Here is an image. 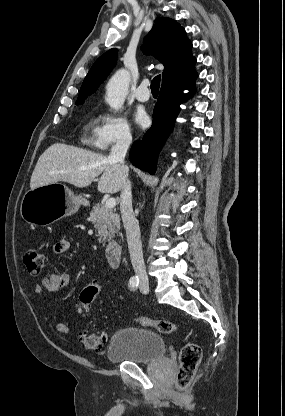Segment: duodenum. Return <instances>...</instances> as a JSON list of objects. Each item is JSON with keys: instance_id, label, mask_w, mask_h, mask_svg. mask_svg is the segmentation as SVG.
<instances>
[{"instance_id": "obj_1", "label": "duodenum", "mask_w": 285, "mask_h": 416, "mask_svg": "<svg viewBox=\"0 0 285 416\" xmlns=\"http://www.w3.org/2000/svg\"><path fill=\"white\" fill-rule=\"evenodd\" d=\"M84 203L86 205H89L91 203V200L89 198H86L84 200ZM104 253L109 266L112 269L119 268L122 254L121 245L118 242H110L106 245Z\"/></svg>"}]
</instances>
